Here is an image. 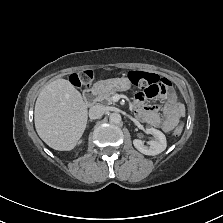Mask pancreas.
Instances as JSON below:
<instances>
[{
    "mask_svg": "<svg viewBox=\"0 0 223 223\" xmlns=\"http://www.w3.org/2000/svg\"><path fill=\"white\" fill-rule=\"evenodd\" d=\"M113 96H114V95H113L112 93H108V95L102 97L101 100H102L103 102H107V104H112V102H113L112 97H113Z\"/></svg>",
    "mask_w": 223,
    "mask_h": 223,
    "instance_id": "1",
    "label": "pancreas"
}]
</instances>
